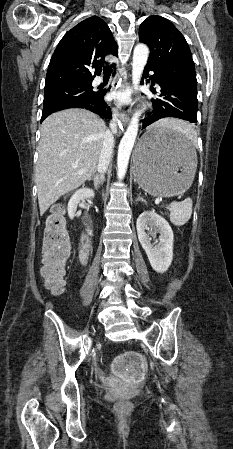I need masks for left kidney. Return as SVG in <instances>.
<instances>
[{
	"label": "left kidney",
	"instance_id": "5707ae66",
	"mask_svg": "<svg viewBox=\"0 0 233 449\" xmlns=\"http://www.w3.org/2000/svg\"><path fill=\"white\" fill-rule=\"evenodd\" d=\"M138 239L145 250L151 267L158 273L168 270L173 259V231L168 222L154 211H145L136 223ZM159 233V242L151 243Z\"/></svg>",
	"mask_w": 233,
	"mask_h": 449
}]
</instances>
